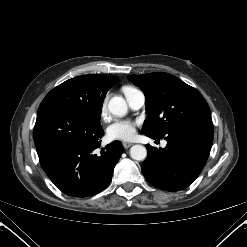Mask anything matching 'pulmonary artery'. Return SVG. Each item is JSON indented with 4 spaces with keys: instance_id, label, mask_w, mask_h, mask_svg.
I'll return each mask as SVG.
<instances>
[{
    "instance_id": "obj_1",
    "label": "pulmonary artery",
    "mask_w": 247,
    "mask_h": 247,
    "mask_svg": "<svg viewBox=\"0 0 247 247\" xmlns=\"http://www.w3.org/2000/svg\"><path fill=\"white\" fill-rule=\"evenodd\" d=\"M126 100L128 102V105L130 108L133 110H138L140 109L144 103H145V96L142 91L138 89H134L128 93L125 94ZM167 144L166 141L162 142V147H165Z\"/></svg>"
}]
</instances>
